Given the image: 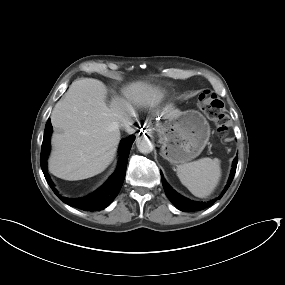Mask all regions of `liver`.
Listing matches in <instances>:
<instances>
[{
  "label": "liver",
  "mask_w": 285,
  "mask_h": 285,
  "mask_svg": "<svg viewBox=\"0 0 285 285\" xmlns=\"http://www.w3.org/2000/svg\"><path fill=\"white\" fill-rule=\"evenodd\" d=\"M104 84L93 78L75 80L65 97L57 102L51 122L52 136L49 170L58 178L75 181L103 172L112 162L120 141L122 119L132 116V104L153 105L158 89L144 82L130 84L124 98H115L107 106ZM165 108V118L179 114Z\"/></svg>",
  "instance_id": "obj_1"
}]
</instances>
